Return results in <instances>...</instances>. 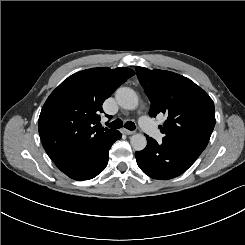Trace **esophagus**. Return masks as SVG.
<instances>
[{
	"label": "esophagus",
	"mask_w": 245,
	"mask_h": 245,
	"mask_svg": "<svg viewBox=\"0 0 245 245\" xmlns=\"http://www.w3.org/2000/svg\"><path fill=\"white\" fill-rule=\"evenodd\" d=\"M122 132L126 135H132L135 133V131H130V130H127V129H122Z\"/></svg>",
	"instance_id": "1"
}]
</instances>
